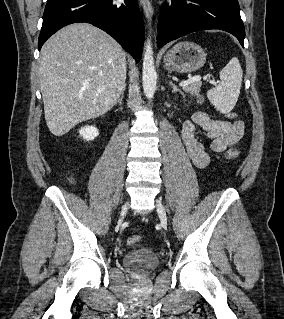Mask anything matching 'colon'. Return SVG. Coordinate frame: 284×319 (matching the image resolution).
Here are the masks:
<instances>
[{
  "mask_svg": "<svg viewBox=\"0 0 284 319\" xmlns=\"http://www.w3.org/2000/svg\"><path fill=\"white\" fill-rule=\"evenodd\" d=\"M228 119L235 120L237 118V114L234 112H230L227 114ZM239 153L237 150H229L226 153V158L229 160L236 159L238 157ZM141 236L140 235H132L127 239L128 245H136L140 242Z\"/></svg>",
  "mask_w": 284,
  "mask_h": 319,
  "instance_id": "1",
  "label": "colon"
}]
</instances>
